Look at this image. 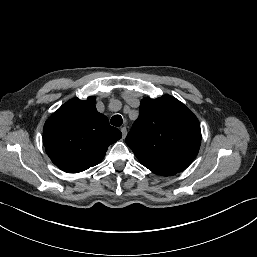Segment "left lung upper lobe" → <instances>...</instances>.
I'll use <instances>...</instances> for the list:
<instances>
[{
  "mask_svg": "<svg viewBox=\"0 0 257 257\" xmlns=\"http://www.w3.org/2000/svg\"><path fill=\"white\" fill-rule=\"evenodd\" d=\"M126 143L149 170L173 175L196 157L201 143L200 123L172 96L144 98Z\"/></svg>",
  "mask_w": 257,
  "mask_h": 257,
  "instance_id": "1",
  "label": "left lung upper lobe"
}]
</instances>
